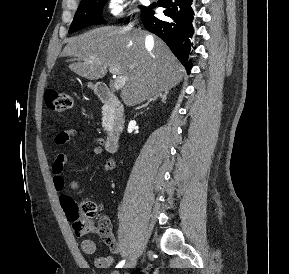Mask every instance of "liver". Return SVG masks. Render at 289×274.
I'll use <instances>...</instances> for the list:
<instances>
[{
    "label": "liver",
    "instance_id": "liver-1",
    "mask_svg": "<svg viewBox=\"0 0 289 274\" xmlns=\"http://www.w3.org/2000/svg\"><path fill=\"white\" fill-rule=\"evenodd\" d=\"M147 36L130 27H99L68 39L61 56L76 57L70 70L89 80L103 78L110 65L118 66L126 78L121 98L131 107L175 87L184 73L166 44Z\"/></svg>",
    "mask_w": 289,
    "mask_h": 274
}]
</instances>
